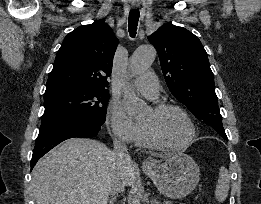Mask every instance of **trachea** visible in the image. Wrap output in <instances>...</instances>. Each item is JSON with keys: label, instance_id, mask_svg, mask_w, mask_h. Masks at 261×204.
I'll return each mask as SVG.
<instances>
[{"label": "trachea", "instance_id": "1", "mask_svg": "<svg viewBox=\"0 0 261 204\" xmlns=\"http://www.w3.org/2000/svg\"><path fill=\"white\" fill-rule=\"evenodd\" d=\"M140 13L138 9H133L129 13L128 30L132 38L135 37Z\"/></svg>", "mask_w": 261, "mask_h": 204}]
</instances>
